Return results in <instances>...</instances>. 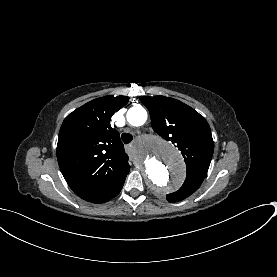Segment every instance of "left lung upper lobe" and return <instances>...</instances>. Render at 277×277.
<instances>
[{
	"label": "left lung upper lobe",
	"instance_id": "1",
	"mask_svg": "<svg viewBox=\"0 0 277 277\" xmlns=\"http://www.w3.org/2000/svg\"><path fill=\"white\" fill-rule=\"evenodd\" d=\"M140 100L149 110L154 131L177 145L184 157L185 183L181 189L167 195L171 203L181 201L200 187L207 174L214 150L209 124L179 100L165 96H143Z\"/></svg>",
	"mask_w": 277,
	"mask_h": 277
}]
</instances>
